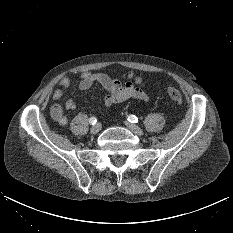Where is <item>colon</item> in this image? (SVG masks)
I'll list each match as a JSON object with an SVG mask.
<instances>
[{"mask_svg": "<svg viewBox=\"0 0 233 233\" xmlns=\"http://www.w3.org/2000/svg\"><path fill=\"white\" fill-rule=\"evenodd\" d=\"M167 93L169 97L176 103L181 104L183 102V96L181 92L176 88H168Z\"/></svg>", "mask_w": 233, "mask_h": 233, "instance_id": "1", "label": "colon"}]
</instances>
